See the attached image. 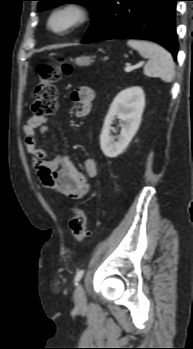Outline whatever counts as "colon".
<instances>
[{"mask_svg": "<svg viewBox=\"0 0 193 349\" xmlns=\"http://www.w3.org/2000/svg\"><path fill=\"white\" fill-rule=\"evenodd\" d=\"M40 82L35 90V98L32 110L35 116L47 117L53 115L57 110L58 88L57 82L61 74L69 75L73 67L61 61L59 66L41 64L37 68ZM70 229L76 241L82 242L88 235L87 218L83 209L74 208L73 216L70 220Z\"/></svg>", "mask_w": 193, "mask_h": 349, "instance_id": "5ec220e1", "label": "colon"}]
</instances>
